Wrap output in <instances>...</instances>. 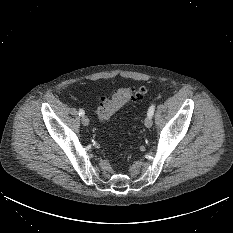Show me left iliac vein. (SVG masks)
<instances>
[{"mask_svg":"<svg viewBox=\"0 0 233 233\" xmlns=\"http://www.w3.org/2000/svg\"><path fill=\"white\" fill-rule=\"evenodd\" d=\"M144 124H145V126H146L147 128H150V127L152 126V124H153L152 117L147 116V117L145 118Z\"/></svg>","mask_w":233,"mask_h":233,"instance_id":"1","label":"left iliac vein"}]
</instances>
